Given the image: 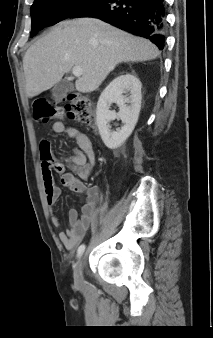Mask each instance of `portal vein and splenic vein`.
Wrapping results in <instances>:
<instances>
[{
  "label": "portal vein and splenic vein",
  "instance_id": "1",
  "mask_svg": "<svg viewBox=\"0 0 213 338\" xmlns=\"http://www.w3.org/2000/svg\"><path fill=\"white\" fill-rule=\"evenodd\" d=\"M72 73L76 77H80L82 75V69L79 66H76L72 69Z\"/></svg>",
  "mask_w": 213,
  "mask_h": 338
}]
</instances>
